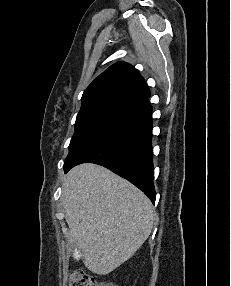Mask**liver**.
I'll use <instances>...</instances> for the list:
<instances>
[{"mask_svg":"<svg viewBox=\"0 0 231 286\" xmlns=\"http://www.w3.org/2000/svg\"><path fill=\"white\" fill-rule=\"evenodd\" d=\"M62 203L83 263L98 275L130 259L152 231L154 208L148 197L99 165L81 164L68 172Z\"/></svg>","mask_w":231,"mask_h":286,"instance_id":"liver-1","label":"liver"}]
</instances>
